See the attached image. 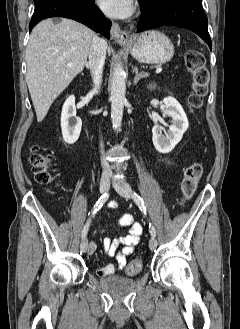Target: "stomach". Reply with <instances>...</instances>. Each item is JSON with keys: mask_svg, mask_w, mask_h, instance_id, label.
<instances>
[{"mask_svg": "<svg viewBox=\"0 0 240 329\" xmlns=\"http://www.w3.org/2000/svg\"><path fill=\"white\" fill-rule=\"evenodd\" d=\"M131 55L139 62L162 64L174 54V45L163 33L151 30L140 34L130 49Z\"/></svg>", "mask_w": 240, "mask_h": 329, "instance_id": "0dacf381", "label": "stomach"}]
</instances>
